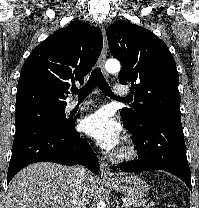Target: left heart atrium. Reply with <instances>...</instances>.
<instances>
[{
	"mask_svg": "<svg viewBox=\"0 0 199 208\" xmlns=\"http://www.w3.org/2000/svg\"><path fill=\"white\" fill-rule=\"evenodd\" d=\"M79 128L109 151L114 150L121 140L122 128L106 109H99L86 115L80 121Z\"/></svg>",
	"mask_w": 199,
	"mask_h": 208,
	"instance_id": "left-heart-atrium-1",
	"label": "left heart atrium"
}]
</instances>
